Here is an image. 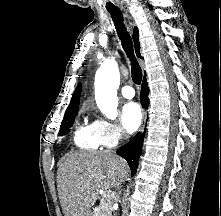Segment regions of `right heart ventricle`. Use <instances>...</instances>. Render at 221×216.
<instances>
[{
    "instance_id": "obj_1",
    "label": "right heart ventricle",
    "mask_w": 221,
    "mask_h": 216,
    "mask_svg": "<svg viewBox=\"0 0 221 216\" xmlns=\"http://www.w3.org/2000/svg\"><path fill=\"white\" fill-rule=\"evenodd\" d=\"M73 141L77 147L85 150H96L101 147L93 124L79 125L74 132Z\"/></svg>"
}]
</instances>
